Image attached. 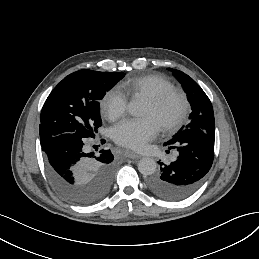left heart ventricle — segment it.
Here are the masks:
<instances>
[{
  "label": "left heart ventricle",
  "instance_id": "left-heart-ventricle-1",
  "mask_svg": "<svg viewBox=\"0 0 259 259\" xmlns=\"http://www.w3.org/2000/svg\"><path fill=\"white\" fill-rule=\"evenodd\" d=\"M177 108H178L177 104L172 103L168 107H166L163 110L161 116L158 117L156 112H155V109L153 108V106L148 101L144 117H154L158 122H159L160 119H162V120H172L177 113Z\"/></svg>",
  "mask_w": 259,
  "mask_h": 259
}]
</instances>
